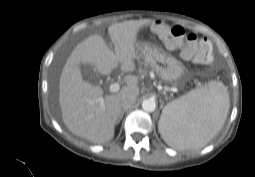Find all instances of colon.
<instances>
[{"mask_svg": "<svg viewBox=\"0 0 255 177\" xmlns=\"http://www.w3.org/2000/svg\"><path fill=\"white\" fill-rule=\"evenodd\" d=\"M155 31L164 45L169 49L179 50L182 58L197 64H208L213 60L210 42L199 40L194 33L186 34L183 27L159 22L155 26Z\"/></svg>", "mask_w": 255, "mask_h": 177, "instance_id": "5ec220e1", "label": "colon"}]
</instances>
